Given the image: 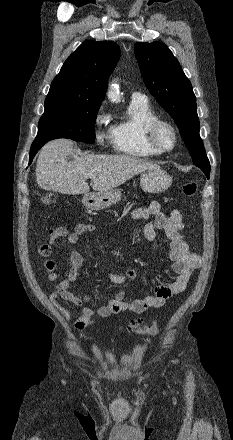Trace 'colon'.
I'll list each match as a JSON object with an SVG mask.
<instances>
[{"instance_id": "1", "label": "colon", "mask_w": 233, "mask_h": 440, "mask_svg": "<svg viewBox=\"0 0 233 440\" xmlns=\"http://www.w3.org/2000/svg\"><path fill=\"white\" fill-rule=\"evenodd\" d=\"M198 189V181L196 179H192L187 181L183 187H182V193L183 195L190 197L193 196ZM45 205H54L55 204V199L51 196H46L43 200ZM127 330L130 332H135V333H143V334H150V335H154L157 333L158 328H157V324L153 323L151 325H147V326H143L141 321L139 320H133L131 321L128 325H127Z\"/></svg>"}]
</instances>
